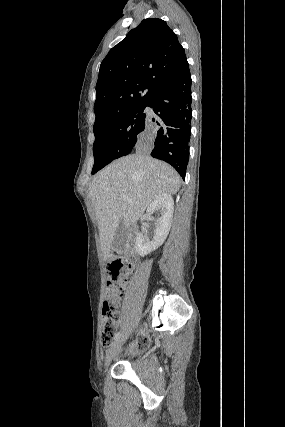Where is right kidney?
Instances as JSON below:
<instances>
[{
  "instance_id": "1",
  "label": "right kidney",
  "mask_w": 285,
  "mask_h": 427,
  "mask_svg": "<svg viewBox=\"0 0 285 427\" xmlns=\"http://www.w3.org/2000/svg\"><path fill=\"white\" fill-rule=\"evenodd\" d=\"M174 201L171 195L163 194L154 199L147 208L146 216L153 220L152 214L158 211L161 216L155 222V235L153 240H150L143 233H139L135 241V249L137 253L144 257L161 246L166 240L173 217Z\"/></svg>"
}]
</instances>
